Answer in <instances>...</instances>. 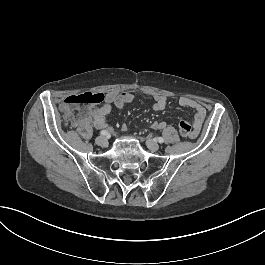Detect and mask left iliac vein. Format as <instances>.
<instances>
[{"label":"left iliac vein","mask_w":265,"mask_h":265,"mask_svg":"<svg viewBox=\"0 0 265 265\" xmlns=\"http://www.w3.org/2000/svg\"><path fill=\"white\" fill-rule=\"evenodd\" d=\"M146 145L151 151H157L159 149V145L150 138L146 139Z\"/></svg>","instance_id":"1"}]
</instances>
